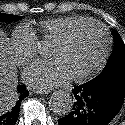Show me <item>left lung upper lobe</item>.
Returning <instances> with one entry per match:
<instances>
[{"instance_id": "1", "label": "left lung upper lobe", "mask_w": 125, "mask_h": 125, "mask_svg": "<svg viewBox=\"0 0 125 125\" xmlns=\"http://www.w3.org/2000/svg\"><path fill=\"white\" fill-rule=\"evenodd\" d=\"M114 49L102 72L90 80L98 82L111 78L119 73H125V45L116 30H113Z\"/></svg>"}]
</instances>
